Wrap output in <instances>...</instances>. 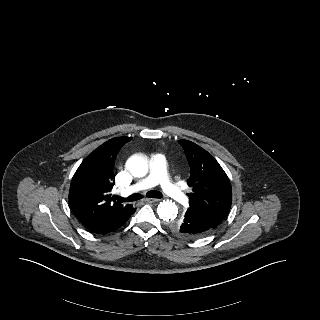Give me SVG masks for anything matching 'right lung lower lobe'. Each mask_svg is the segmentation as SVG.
Here are the masks:
<instances>
[{
  "label": "right lung lower lobe",
  "instance_id": "obj_1",
  "mask_svg": "<svg viewBox=\"0 0 320 320\" xmlns=\"http://www.w3.org/2000/svg\"><path fill=\"white\" fill-rule=\"evenodd\" d=\"M135 211L136 209L133 208L132 206L131 209H129V211L126 214L103 221L102 223L92 228H89L88 230L96 234H106V233L115 231L119 227H121L123 224H125Z\"/></svg>",
  "mask_w": 320,
  "mask_h": 320
}]
</instances>
